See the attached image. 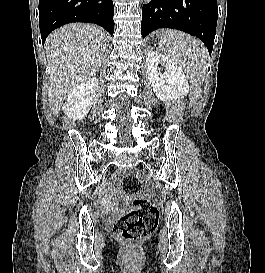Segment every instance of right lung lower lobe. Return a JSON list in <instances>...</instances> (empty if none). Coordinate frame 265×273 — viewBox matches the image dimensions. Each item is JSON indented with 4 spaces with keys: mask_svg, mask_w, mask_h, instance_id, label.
Listing matches in <instances>:
<instances>
[{
    "mask_svg": "<svg viewBox=\"0 0 265 273\" xmlns=\"http://www.w3.org/2000/svg\"><path fill=\"white\" fill-rule=\"evenodd\" d=\"M112 0H39V25L44 44L56 28L71 22L94 23L114 33Z\"/></svg>",
    "mask_w": 265,
    "mask_h": 273,
    "instance_id": "1",
    "label": "right lung lower lobe"
}]
</instances>
